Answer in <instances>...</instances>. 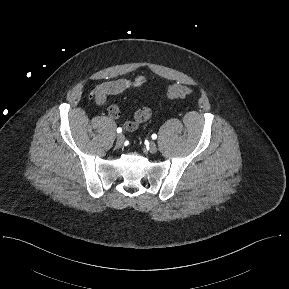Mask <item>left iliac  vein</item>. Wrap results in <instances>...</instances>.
Listing matches in <instances>:
<instances>
[{"instance_id": "left-iliac-vein-1", "label": "left iliac vein", "mask_w": 289, "mask_h": 289, "mask_svg": "<svg viewBox=\"0 0 289 289\" xmlns=\"http://www.w3.org/2000/svg\"><path fill=\"white\" fill-rule=\"evenodd\" d=\"M148 149L151 153H156L157 152V145L155 142H150L148 145Z\"/></svg>"}]
</instances>
